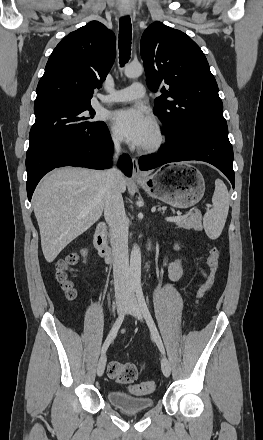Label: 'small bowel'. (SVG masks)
Listing matches in <instances>:
<instances>
[{"mask_svg": "<svg viewBox=\"0 0 263 440\" xmlns=\"http://www.w3.org/2000/svg\"><path fill=\"white\" fill-rule=\"evenodd\" d=\"M175 251L179 250V246L175 245L174 247ZM167 270H168V274L169 277L172 281H179L181 279V277L183 276V268L181 266V263L178 259L174 260V261H168L167 259H165L164 262ZM201 273L204 277H207V275L201 270Z\"/></svg>", "mask_w": 263, "mask_h": 440, "instance_id": "c3829d8e", "label": "small bowel"}]
</instances>
